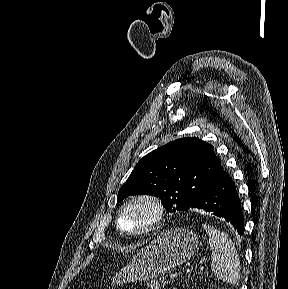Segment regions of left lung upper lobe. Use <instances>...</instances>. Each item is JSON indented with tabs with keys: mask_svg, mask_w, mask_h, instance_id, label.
I'll list each match as a JSON object with an SVG mask.
<instances>
[{
	"mask_svg": "<svg viewBox=\"0 0 288 289\" xmlns=\"http://www.w3.org/2000/svg\"><path fill=\"white\" fill-rule=\"evenodd\" d=\"M213 146L181 138L153 150L136 164L121 186L117 203L132 195L159 197L168 212L186 211L223 171Z\"/></svg>",
	"mask_w": 288,
	"mask_h": 289,
	"instance_id": "5c2ea615",
	"label": "left lung upper lobe"
}]
</instances>
